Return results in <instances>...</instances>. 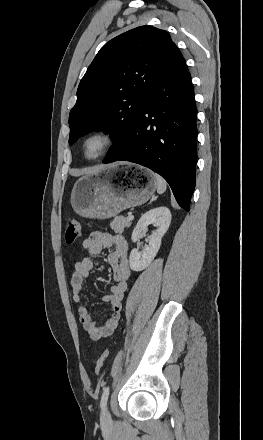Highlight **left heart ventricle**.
Masks as SVG:
<instances>
[{
    "instance_id": "left-heart-ventricle-1",
    "label": "left heart ventricle",
    "mask_w": 263,
    "mask_h": 440,
    "mask_svg": "<svg viewBox=\"0 0 263 440\" xmlns=\"http://www.w3.org/2000/svg\"><path fill=\"white\" fill-rule=\"evenodd\" d=\"M101 143L98 139H92L88 142L86 152L88 155H95L100 149Z\"/></svg>"
}]
</instances>
